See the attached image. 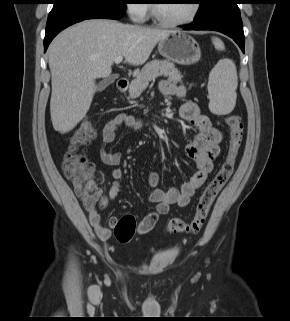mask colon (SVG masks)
Instances as JSON below:
<instances>
[{"label":"colon","instance_id":"obj_1","mask_svg":"<svg viewBox=\"0 0 290 321\" xmlns=\"http://www.w3.org/2000/svg\"><path fill=\"white\" fill-rule=\"evenodd\" d=\"M225 121L230 128L226 157L219 170L200 194L193 218L188 222L179 218H173L168 222L167 230L171 234L199 233L206 223L213 202L233 173L243 141L244 126L241 117L236 114L227 115ZM94 133L95 128L90 120L86 119L80 123L71 138L69 149L65 153L62 163L66 178L71 182L75 193L87 209L94 207L100 199V189L94 180L95 167L83 152ZM135 232L136 221L133 216H123L115 225V237L121 243L129 242Z\"/></svg>","mask_w":290,"mask_h":321}]
</instances>
